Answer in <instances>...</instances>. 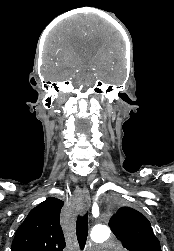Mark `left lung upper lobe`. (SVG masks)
Masks as SVG:
<instances>
[{
    "label": "left lung upper lobe",
    "mask_w": 174,
    "mask_h": 251,
    "mask_svg": "<svg viewBox=\"0 0 174 251\" xmlns=\"http://www.w3.org/2000/svg\"><path fill=\"white\" fill-rule=\"evenodd\" d=\"M109 226L129 251H161L149 220L135 209L122 207L111 218Z\"/></svg>",
    "instance_id": "5c2ea615"
}]
</instances>
